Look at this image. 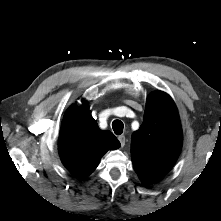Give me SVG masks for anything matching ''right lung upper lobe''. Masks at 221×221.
Segmentation results:
<instances>
[{
    "mask_svg": "<svg viewBox=\"0 0 221 221\" xmlns=\"http://www.w3.org/2000/svg\"><path fill=\"white\" fill-rule=\"evenodd\" d=\"M119 147L112 132L99 129L86 101L81 107L69 108L62 122L58 149L62 163L73 175H90L108 150Z\"/></svg>",
    "mask_w": 221,
    "mask_h": 221,
    "instance_id": "cb5924a9",
    "label": "right lung upper lobe"
}]
</instances>
